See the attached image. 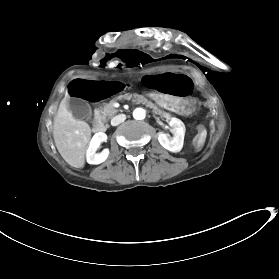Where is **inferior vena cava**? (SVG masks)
Listing matches in <instances>:
<instances>
[{"label": "inferior vena cava", "mask_w": 279, "mask_h": 279, "mask_svg": "<svg viewBox=\"0 0 279 279\" xmlns=\"http://www.w3.org/2000/svg\"><path fill=\"white\" fill-rule=\"evenodd\" d=\"M125 119H126V117L124 114L118 115L112 119L111 125L116 126V125L120 124L121 122H124Z\"/></svg>", "instance_id": "obj_1"}]
</instances>
